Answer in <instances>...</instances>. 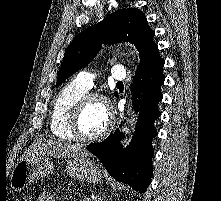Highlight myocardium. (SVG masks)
I'll return each mask as SVG.
<instances>
[{"mask_svg": "<svg viewBox=\"0 0 221 201\" xmlns=\"http://www.w3.org/2000/svg\"><path fill=\"white\" fill-rule=\"evenodd\" d=\"M91 101H100L104 104L108 113L109 120L107 126L103 131L93 136H87L84 135L80 130V119L84 109ZM114 124L115 116L113 106L109 98L100 93L87 92L74 105L70 116L69 128L75 139L83 142H95L108 135L109 132L113 129Z\"/></svg>", "mask_w": 221, "mask_h": 201, "instance_id": "myocardium-1", "label": "myocardium"}]
</instances>
